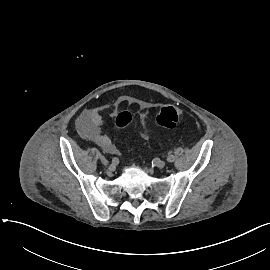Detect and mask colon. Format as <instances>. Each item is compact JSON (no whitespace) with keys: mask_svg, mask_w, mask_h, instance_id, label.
I'll return each mask as SVG.
<instances>
[{"mask_svg":"<svg viewBox=\"0 0 270 270\" xmlns=\"http://www.w3.org/2000/svg\"><path fill=\"white\" fill-rule=\"evenodd\" d=\"M131 120L132 115L129 111H121L114 120L115 128L118 131H122L130 124ZM155 120L161 127L173 129L180 124L182 115L177 107L164 106L158 111Z\"/></svg>","mask_w":270,"mask_h":270,"instance_id":"1","label":"colon"}]
</instances>
